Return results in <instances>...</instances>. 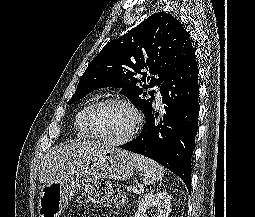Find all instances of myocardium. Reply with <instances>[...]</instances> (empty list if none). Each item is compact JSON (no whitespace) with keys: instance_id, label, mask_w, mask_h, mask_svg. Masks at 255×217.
<instances>
[{"instance_id":"obj_1","label":"myocardium","mask_w":255,"mask_h":217,"mask_svg":"<svg viewBox=\"0 0 255 217\" xmlns=\"http://www.w3.org/2000/svg\"><path fill=\"white\" fill-rule=\"evenodd\" d=\"M108 104H118V105L125 106L128 109H130L134 115V118H135L134 126L132 127L130 132L121 139H117V140L106 139L97 132V130L95 129L93 125L92 120H93V115L95 111L99 109L100 107L108 105ZM85 124L88 131L95 139L109 146H121L133 140L134 137L138 134V132L141 130L143 125V118L139 109L131 101L125 98L112 97V98H105V99L99 100L96 103L92 104L86 112Z\"/></svg>"}]
</instances>
